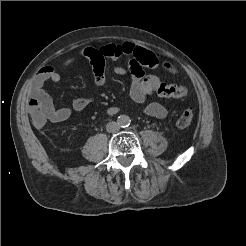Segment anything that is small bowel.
I'll use <instances>...</instances> for the list:
<instances>
[{"mask_svg": "<svg viewBox=\"0 0 246 246\" xmlns=\"http://www.w3.org/2000/svg\"><path fill=\"white\" fill-rule=\"evenodd\" d=\"M135 45L132 43L107 44L99 48L87 47L80 51L79 55L66 59L61 65V69L73 65L79 58L87 59L94 73V83L97 89L102 88L105 84L104 65L106 59H118L127 57L128 63L125 66H116L113 72L116 75L130 73L132 83L130 86V97L138 104H145L144 112L147 115L163 119L168 115V108L159 102H147L148 98L154 96V89L160 84V79L156 75L146 74L145 70L137 67L132 59ZM61 79V73L52 66L43 67L35 76L32 84V96L39 97L51 105V113L48 120L51 122H62L67 120L73 112H81L93 100L94 95H88L73 100L71 107L56 109L53 106L50 96L44 90V84L52 80L57 82ZM120 107H107L105 112L108 115H115L120 112Z\"/></svg>", "mask_w": 246, "mask_h": 246, "instance_id": "small-bowel-1", "label": "small bowel"}]
</instances>
